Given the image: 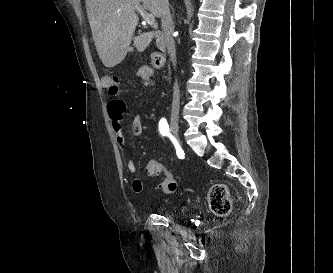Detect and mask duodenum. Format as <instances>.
Instances as JSON below:
<instances>
[{"label":"duodenum","mask_w":333,"mask_h":273,"mask_svg":"<svg viewBox=\"0 0 333 273\" xmlns=\"http://www.w3.org/2000/svg\"><path fill=\"white\" fill-rule=\"evenodd\" d=\"M155 40L158 48L161 51H166L169 48L170 45L169 40L161 31L155 32Z\"/></svg>","instance_id":"duodenum-1"}]
</instances>
